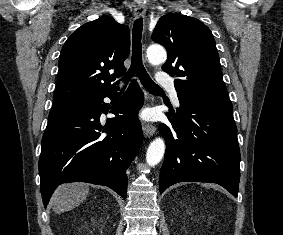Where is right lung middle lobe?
<instances>
[{
    "instance_id": "1",
    "label": "right lung middle lobe",
    "mask_w": 283,
    "mask_h": 235,
    "mask_svg": "<svg viewBox=\"0 0 283 235\" xmlns=\"http://www.w3.org/2000/svg\"><path fill=\"white\" fill-rule=\"evenodd\" d=\"M85 100L69 101L53 104L48 117V124L60 121L74 113Z\"/></svg>"
}]
</instances>
